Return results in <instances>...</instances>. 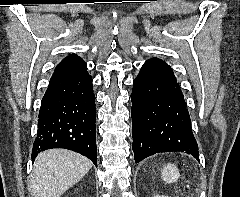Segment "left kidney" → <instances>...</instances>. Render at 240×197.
<instances>
[{
	"mask_svg": "<svg viewBox=\"0 0 240 197\" xmlns=\"http://www.w3.org/2000/svg\"><path fill=\"white\" fill-rule=\"evenodd\" d=\"M154 197H168V196H160V195H156V196H154Z\"/></svg>",
	"mask_w": 240,
	"mask_h": 197,
	"instance_id": "obj_1",
	"label": "left kidney"
}]
</instances>
